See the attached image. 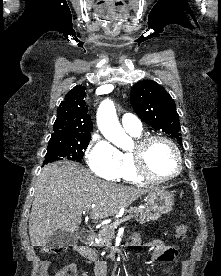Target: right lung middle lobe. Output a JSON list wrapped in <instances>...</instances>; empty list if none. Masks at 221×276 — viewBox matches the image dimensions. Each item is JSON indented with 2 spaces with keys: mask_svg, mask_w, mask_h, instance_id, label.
<instances>
[{
  "mask_svg": "<svg viewBox=\"0 0 221 276\" xmlns=\"http://www.w3.org/2000/svg\"><path fill=\"white\" fill-rule=\"evenodd\" d=\"M90 136L50 139L44 164L58 160L79 162L90 142Z\"/></svg>",
  "mask_w": 221,
  "mask_h": 276,
  "instance_id": "1",
  "label": "right lung middle lobe"
}]
</instances>
